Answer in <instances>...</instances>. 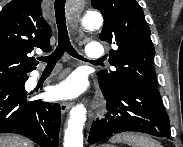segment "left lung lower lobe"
Instances as JSON below:
<instances>
[{"label": "left lung lower lobe", "instance_id": "1", "mask_svg": "<svg viewBox=\"0 0 183 147\" xmlns=\"http://www.w3.org/2000/svg\"><path fill=\"white\" fill-rule=\"evenodd\" d=\"M108 112L96 120L90 131V144L121 132H143L157 137L171 135L169 117L165 112L157 87L127 82L116 90L101 87Z\"/></svg>", "mask_w": 183, "mask_h": 147}]
</instances>
